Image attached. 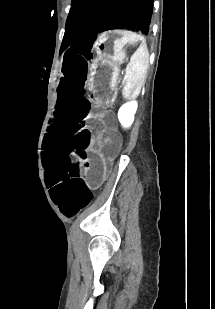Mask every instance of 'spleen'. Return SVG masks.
Wrapping results in <instances>:
<instances>
[{
	"label": "spleen",
	"instance_id": "1",
	"mask_svg": "<svg viewBox=\"0 0 215 309\" xmlns=\"http://www.w3.org/2000/svg\"><path fill=\"white\" fill-rule=\"evenodd\" d=\"M148 62L149 52L147 44L143 40L126 66V82L122 90L124 98L131 100V98L138 96L146 76Z\"/></svg>",
	"mask_w": 215,
	"mask_h": 309
}]
</instances>
